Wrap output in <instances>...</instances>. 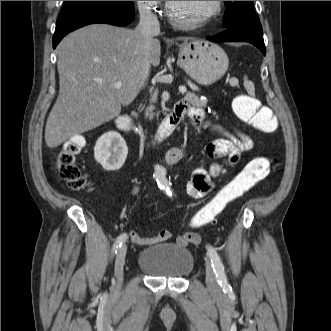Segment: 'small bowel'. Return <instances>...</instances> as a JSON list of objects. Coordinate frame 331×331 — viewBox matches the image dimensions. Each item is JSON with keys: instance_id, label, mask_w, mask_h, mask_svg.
Wrapping results in <instances>:
<instances>
[{"instance_id": "c3829d8e", "label": "small bowel", "mask_w": 331, "mask_h": 331, "mask_svg": "<svg viewBox=\"0 0 331 331\" xmlns=\"http://www.w3.org/2000/svg\"><path fill=\"white\" fill-rule=\"evenodd\" d=\"M178 106L184 112V116L187 115L193 122L196 131L199 133L205 128L211 127L209 122L205 120L204 111L196 106L188 104L186 101L179 102ZM213 130L220 135L219 138L209 142L203 149V154L207 159H219L227 158L228 165H224L219 162H213L208 169L203 167H197L192 172L191 179L186 184V190L189 195L194 198L205 197L212 189L214 178H221L229 173L230 168H235L244 152L252 148V140L245 134L236 133L231 134L223 131L219 127H213ZM184 156V152L181 148L174 147L166 153V163L169 166L177 164ZM139 191L138 186H134L132 193L135 195ZM170 238L168 231L160 232L156 237L143 238L137 233H131V242L135 245L154 244L167 241ZM178 243L180 245H187L179 238Z\"/></svg>"}]
</instances>
